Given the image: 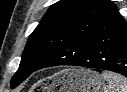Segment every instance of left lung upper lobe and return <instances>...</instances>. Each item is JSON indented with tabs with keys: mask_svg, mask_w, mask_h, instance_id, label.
Segmentation results:
<instances>
[{
	"mask_svg": "<svg viewBox=\"0 0 127 92\" xmlns=\"http://www.w3.org/2000/svg\"><path fill=\"white\" fill-rule=\"evenodd\" d=\"M117 10L110 0H60L30 35L19 69L11 79L15 88L74 36Z\"/></svg>",
	"mask_w": 127,
	"mask_h": 92,
	"instance_id": "5c2ea615",
	"label": "left lung upper lobe"
}]
</instances>
